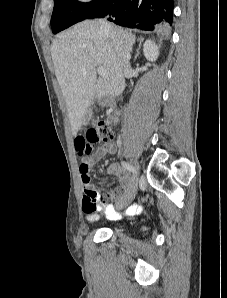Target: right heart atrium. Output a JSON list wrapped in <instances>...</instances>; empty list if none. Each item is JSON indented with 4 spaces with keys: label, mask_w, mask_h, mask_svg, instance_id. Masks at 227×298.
Returning a JSON list of instances; mask_svg holds the SVG:
<instances>
[{
    "label": "right heart atrium",
    "mask_w": 227,
    "mask_h": 298,
    "mask_svg": "<svg viewBox=\"0 0 227 298\" xmlns=\"http://www.w3.org/2000/svg\"><path fill=\"white\" fill-rule=\"evenodd\" d=\"M79 1L82 3H88V2H91L92 0H79Z\"/></svg>",
    "instance_id": "d8ad5b80"
}]
</instances>
